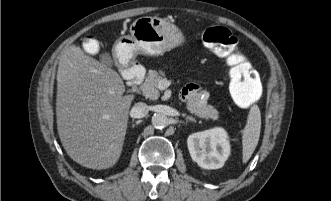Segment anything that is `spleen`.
<instances>
[{"label": "spleen", "instance_id": "1", "mask_svg": "<svg viewBox=\"0 0 331 201\" xmlns=\"http://www.w3.org/2000/svg\"><path fill=\"white\" fill-rule=\"evenodd\" d=\"M261 113L258 106L251 107L242 136V160L246 163L252 156L260 137Z\"/></svg>", "mask_w": 331, "mask_h": 201}]
</instances>
